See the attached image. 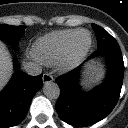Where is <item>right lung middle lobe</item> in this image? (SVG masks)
Returning <instances> with one entry per match:
<instances>
[{
    "mask_svg": "<svg viewBox=\"0 0 128 128\" xmlns=\"http://www.w3.org/2000/svg\"><path fill=\"white\" fill-rule=\"evenodd\" d=\"M25 26H11L0 24V39L9 41L16 45L24 34Z\"/></svg>",
    "mask_w": 128,
    "mask_h": 128,
    "instance_id": "obj_1",
    "label": "right lung middle lobe"
}]
</instances>
